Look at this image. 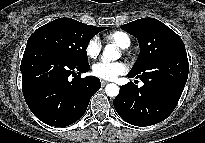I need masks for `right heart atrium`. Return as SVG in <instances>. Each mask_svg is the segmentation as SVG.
Instances as JSON below:
<instances>
[{
    "label": "right heart atrium",
    "mask_w": 205,
    "mask_h": 143,
    "mask_svg": "<svg viewBox=\"0 0 205 143\" xmlns=\"http://www.w3.org/2000/svg\"><path fill=\"white\" fill-rule=\"evenodd\" d=\"M102 49L101 40L94 36L88 40L85 46V53L88 58L95 59L99 56Z\"/></svg>",
    "instance_id": "right-heart-atrium-1"
}]
</instances>
